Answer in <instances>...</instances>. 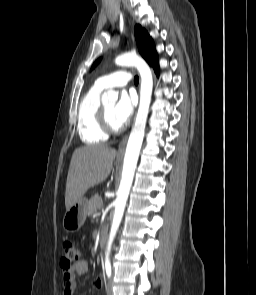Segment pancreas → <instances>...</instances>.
<instances>
[{
    "label": "pancreas",
    "instance_id": "1",
    "mask_svg": "<svg viewBox=\"0 0 256 295\" xmlns=\"http://www.w3.org/2000/svg\"><path fill=\"white\" fill-rule=\"evenodd\" d=\"M103 207V201L101 196L94 195L88 202L87 207V213L88 214H94L97 212V210L101 209Z\"/></svg>",
    "mask_w": 256,
    "mask_h": 295
}]
</instances>
